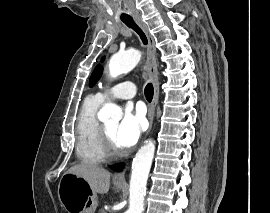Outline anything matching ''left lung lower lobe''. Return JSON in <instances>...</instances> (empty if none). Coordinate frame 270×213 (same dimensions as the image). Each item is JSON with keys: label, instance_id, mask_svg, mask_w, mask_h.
Instances as JSON below:
<instances>
[{"label": "left lung lower lobe", "instance_id": "obj_1", "mask_svg": "<svg viewBox=\"0 0 270 213\" xmlns=\"http://www.w3.org/2000/svg\"><path fill=\"white\" fill-rule=\"evenodd\" d=\"M123 168L122 165H117L116 168L114 169L115 171H120Z\"/></svg>", "mask_w": 270, "mask_h": 213}]
</instances>
